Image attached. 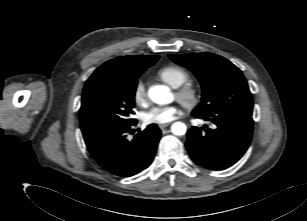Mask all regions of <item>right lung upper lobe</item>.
<instances>
[{
	"label": "right lung upper lobe",
	"mask_w": 307,
	"mask_h": 221,
	"mask_svg": "<svg viewBox=\"0 0 307 221\" xmlns=\"http://www.w3.org/2000/svg\"><path fill=\"white\" fill-rule=\"evenodd\" d=\"M159 56H122L116 59L107 61L101 65L95 72L90 76L94 77L100 74L113 73L119 71H129L141 68H148L153 65Z\"/></svg>",
	"instance_id": "right-lung-upper-lobe-1"
}]
</instances>
